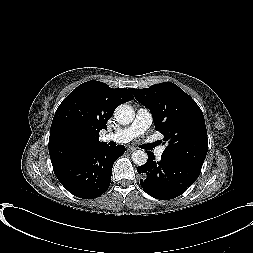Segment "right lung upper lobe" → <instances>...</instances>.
<instances>
[{
	"label": "right lung upper lobe",
	"instance_id": "cb5924a9",
	"mask_svg": "<svg viewBox=\"0 0 253 253\" xmlns=\"http://www.w3.org/2000/svg\"><path fill=\"white\" fill-rule=\"evenodd\" d=\"M131 89H112L99 81L75 88L59 105L49 137V154L56 165L102 146L99 132L120 104L133 100Z\"/></svg>",
	"mask_w": 253,
	"mask_h": 253
}]
</instances>
